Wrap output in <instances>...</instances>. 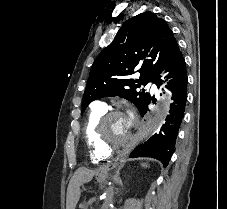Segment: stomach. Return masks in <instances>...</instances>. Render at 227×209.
<instances>
[{
    "instance_id": "1",
    "label": "stomach",
    "mask_w": 227,
    "mask_h": 209,
    "mask_svg": "<svg viewBox=\"0 0 227 209\" xmlns=\"http://www.w3.org/2000/svg\"><path fill=\"white\" fill-rule=\"evenodd\" d=\"M97 179H98V181H100V182L104 180L103 176H101V175H98V176H97Z\"/></svg>"
}]
</instances>
